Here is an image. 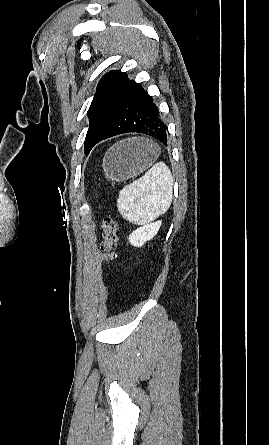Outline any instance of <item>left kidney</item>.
<instances>
[{"label": "left kidney", "instance_id": "left-kidney-1", "mask_svg": "<svg viewBox=\"0 0 269 445\" xmlns=\"http://www.w3.org/2000/svg\"><path fill=\"white\" fill-rule=\"evenodd\" d=\"M161 224V221H156L134 230L128 238L130 244L135 247H142L145 242L151 240L158 233Z\"/></svg>", "mask_w": 269, "mask_h": 445}]
</instances>
